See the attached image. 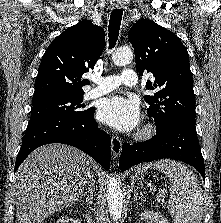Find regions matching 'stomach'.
Here are the masks:
<instances>
[{"label": "stomach", "instance_id": "obj_1", "mask_svg": "<svg viewBox=\"0 0 221 223\" xmlns=\"http://www.w3.org/2000/svg\"><path fill=\"white\" fill-rule=\"evenodd\" d=\"M143 178H144V172L143 169L140 168L136 169L134 173L131 175L132 181H139Z\"/></svg>", "mask_w": 221, "mask_h": 223}]
</instances>
